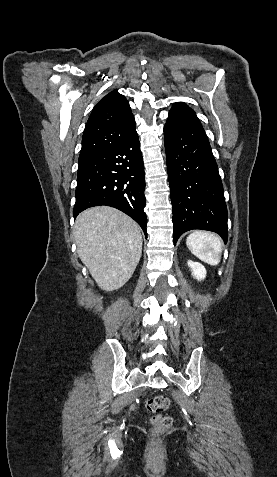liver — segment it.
<instances>
[{
  "mask_svg": "<svg viewBox=\"0 0 277 477\" xmlns=\"http://www.w3.org/2000/svg\"><path fill=\"white\" fill-rule=\"evenodd\" d=\"M74 238L81 261L104 291L122 287L133 275L142 253L138 224L108 206L89 208L78 215Z\"/></svg>",
  "mask_w": 277,
  "mask_h": 477,
  "instance_id": "obj_1",
  "label": "liver"
}]
</instances>
